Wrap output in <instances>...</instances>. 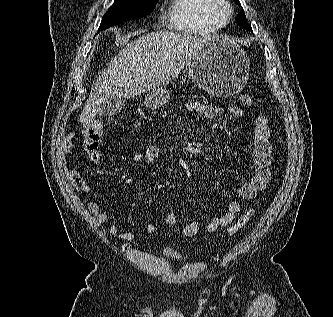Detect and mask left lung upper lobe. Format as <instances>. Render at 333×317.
<instances>
[{
	"instance_id": "obj_1",
	"label": "left lung upper lobe",
	"mask_w": 333,
	"mask_h": 317,
	"mask_svg": "<svg viewBox=\"0 0 333 317\" xmlns=\"http://www.w3.org/2000/svg\"><path fill=\"white\" fill-rule=\"evenodd\" d=\"M236 1L238 4L240 3L239 0H234ZM236 22L241 25L242 27L246 28L247 30H252L251 26L248 24L247 20H246V16L244 11H242L241 13H239L238 17L236 18Z\"/></svg>"
}]
</instances>
